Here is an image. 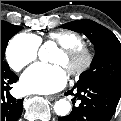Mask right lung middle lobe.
Returning <instances> with one entry per match:
<instances>
[{
	"label": "right lung middle lobe",
	"mask_w": 121,
	"mask_h": 121,
	"mask_svg": "<svg viewBox=\"0 0 121 121\" xmlns=\"http://www.w3.org/2000/svg\"><path fill=\"white\" fill-rule=\"evenodd\" d=\"M21 29L22 27L15 26L13 24L1 20V66L8 65L5 61H3L8 41L14 34L19 32Z\"/></svg>",
	"instance_id": "dd1d6c3e"
}]
</instances>
